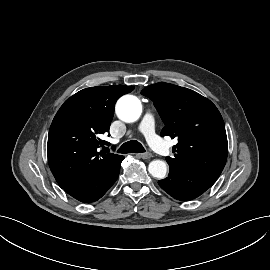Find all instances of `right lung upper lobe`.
Wrapping results in <instances>:
<instances>
[{"instance_id":"right-lung-upper-lobe-1","label":"right lung upper lobe","mask_w":270,"mask_h":270,"mask_svg":"<svg viewBox=\"0 0 270 270\" xmlns=\"http://www.w3.org/2000/svg\"><path fill=\"white\" fill-rule=\"evenodd\" d=\"M133 86H96L83 89L60 107L48 134L49 167L61 188L104 173L121 155L98 152L107 144L99 138L109 131L117 99Z\"/></svg>"}]
</instances>
